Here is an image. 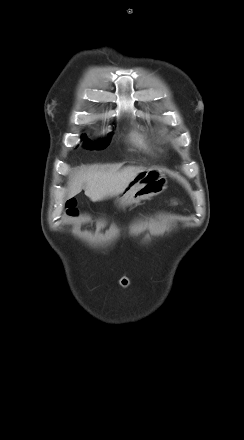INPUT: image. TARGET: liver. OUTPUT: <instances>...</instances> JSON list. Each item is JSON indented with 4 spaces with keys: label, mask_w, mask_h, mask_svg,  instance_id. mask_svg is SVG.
<instances>
[{
    "label": "liver",
    "mask_w": 244,
    "mask_h": 440,
    "mask_svg": "<svg viewBox=\"0 0 244 440\" xmlns=\"http://www.w3.org/2000/svg\"><path fill=\"white\" fill-rule=\"evenodd\" d=\"M142 170V167L92 166L79 170L70 185L69 197L76 196L82 189L92 201H101L118 196Z\"/></svg>",
    "instance_id": "liver-1"
}]
</instances>
